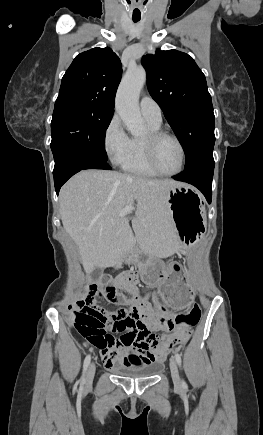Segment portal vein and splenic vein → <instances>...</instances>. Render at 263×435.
Returning a JSON list of instances; mask_svg holds the SVG:
<instances>
[{"label": "portal vein and splenic vein", "instance_id": "1", "mask_svg": "<svg viewBox=\"0 0 263 435\" xmlns=\"http://www.w3.org/2000/svg\"><path fill=\"white\" fill-rule=\"evenodd\" d=\"M134 209L135 208L133 206H128L123 211L119 212L118 216L119 217H125L127 214L132 212Z\"/></svg>", "mask_w": 263, "mask_h": 435}]
</instances>
